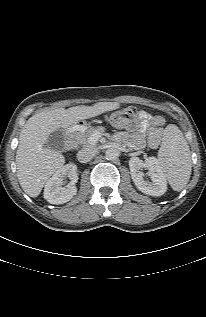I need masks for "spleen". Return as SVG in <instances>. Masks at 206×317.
<instances>
[{
  "label": "spleen",
  "mask_w": 206,
  "mask_h": 317,
  "mask_svg": "<svg viewBox=\"0 0 206 317\" xmlns=\"http://www.w3.org/2000/svg\"><path fill=\"white\" fill-rule=\"evenodd\" d=\"M157 160L172 189L181 191L189 181L192 164L188 143L176 125L165 128Z\"/></svg>",
  "instance_id": "1"
}]
</instances>
